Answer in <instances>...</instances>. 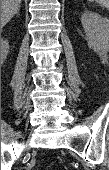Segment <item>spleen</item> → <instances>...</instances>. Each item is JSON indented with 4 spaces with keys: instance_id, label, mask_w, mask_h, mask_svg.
<instances>
[{
    "instance_id": "obj_1",
    "label": "spleen",
    "mask_w": 109,
    "mask_h": 170,
    "mask_svg": "<svg viewBox=\"0 0 109 170\" xmlns=\"http://www.w3.org/2000/svg\"><path fill=\"white\" fill-rule=\"evenodd\" d=\"M89 2H97L104 7H109V0H88Z\"/></svg>"
}]
</instances>
